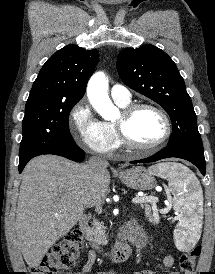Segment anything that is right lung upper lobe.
<instances>
[{"label": "right lung upper lobe", "mask_w": 215, "mask_h": 274, "mask_svg": "<svg viewBox=\"0 0 215 274\" xmlns=\"http://www.w3.org/2000/svg\"><path fill=\"white\" fill-rule=\"evenodd\" d=\"M97 50L70 44L43 65L27 102H74L84 95L89 77L98 62Z\"/></svg>", "instance_id": "1"}]
</instances>
